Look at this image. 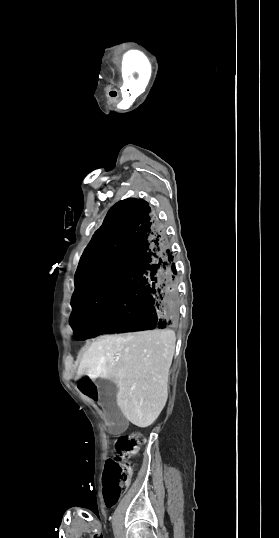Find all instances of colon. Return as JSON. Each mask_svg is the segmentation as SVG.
<instances>
[{
    "instance_id": "5ec220e1",
    "label": "colon",
    "mask_w": 279,
    "mask_h": 538,
    "mask_svg": "<svg viewBox=\"0 0 279 538\" xmlns=\"http://www.w3.org/2000/svg\"><path fill=\"white\" fill-rule=\"evenodd\" d=\"M143 443L144 437L138 432L116 440L103 474V494L108 508L113 507L128 488L133 473L129 460L138 453Z\"/></svg>"
}]
</instances>
